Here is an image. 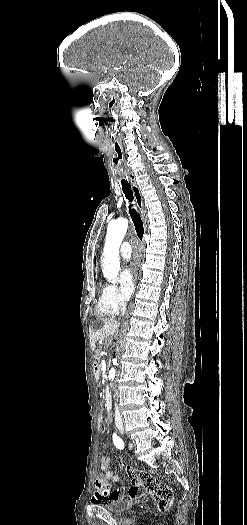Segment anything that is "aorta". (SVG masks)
<instances>
[{"label": "aorta", "mask_w": 247, "mask_h": 525, "mask_svg": "<svg viewBox=\"0 0 247 525\" xmlns=\"http://www.w3.org/2000/svg\"><path fill=\"white\" fill-rule=\"evenodd\" d=\"M127 228L128 220L125 218L114 220L108 225L102 258L103 275L108 281L117 279L120 269L119 247ZM113 362H116V359H114ZM114 377L115 369L112 368L109 371V379L113 380Z\"/></svg>", "instance_id": "1"}]
</instances>
